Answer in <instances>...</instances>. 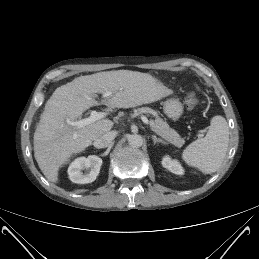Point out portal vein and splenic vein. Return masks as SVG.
Wrapping results in <instances>:
<instances>
[{
	"label": "portal vein and splenic vein",
	"instance_id": "1",
	"mask_svg": "<svg viewBox=\"0 0 259 259\" xmlns=\"http://www.w3.org/2000/svg\"><path fill=\"white\" fill-rule=\"evenodd\" d=\"M110 95H112V92H106L103 94V97H108ZM105 115L106 114L104 112L92 111L88 118H84L78 121H67V124L79 129L102 119ZM141 119L145 124L149 125V120L145 116L142 115Z\"/></svg>",
	"mask_w": 259,
	"mask_h": 259
}]
</instances>
